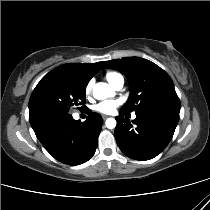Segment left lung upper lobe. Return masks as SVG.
Wrapping results in <instances>:
<instances>
[{
	"label": "left lung upper lobe",
	"instance_id": "left-lung-upper-lobe-1",
	"mask_svg": "<svg viewBox=\"0 0 210 210\" xmlns=\"http://www.w3.org/2000/svg\"><path fill=\"white\" fill-rule=\"evenodd\" d=\"M103 67L118 69L129 79L131 93L121 108L124 112L138 113L151 109L180 111L173 81L155 63L139 57H125L106 61Z\"/></svg>",
	"mask_w": 210,
	"mask_h": 210
}]
</instances>
